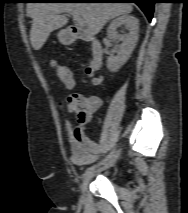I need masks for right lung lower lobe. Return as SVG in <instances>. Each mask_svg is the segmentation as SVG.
Returning <instances> with one entry per match:
<instances>
[{
	"instance_id": "98d812e1",
	"label": "right lung lower lobe",
	"mask_w": 188,
	"mask_h": 213,
	"mask_svg": "<svg viewBox=\"0 0 188 213\" xmlns=\"http://www.w3.org/2000/svg\"><path fill=\"white\" fill-rule=\"evenodd\" d=\"M40 1V0H34ZM98 1H125L127 3H136L145 13L149 21H151L154 11V3L156 0H98Z\"/></svg>"
}]
</instances>
